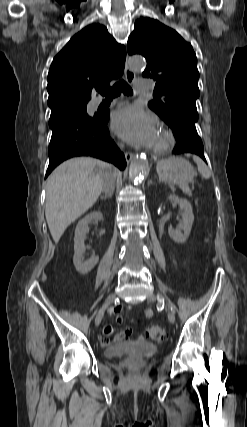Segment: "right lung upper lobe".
Returning <instances> with one entry per match:
<instances>
[{
  "instance_id": "cb5924a9",
  "label": "right lung upper lobe",
  "mask_w": 247,
  "mask_h": 427,
  "mask_svg": "<svg viewBox=\"0 0 247 427\" xmlns=\"http://www.w3.org/2000/svg\"><path fill=\"white\" fill-rule=\"evenodd\" d=\"M126 49L116 43L106 27L92 24L74 35L55 56L48 73L51 113L83 106L92 90L108 88L124 71Z\"/></svg>"
}]
</instances>
